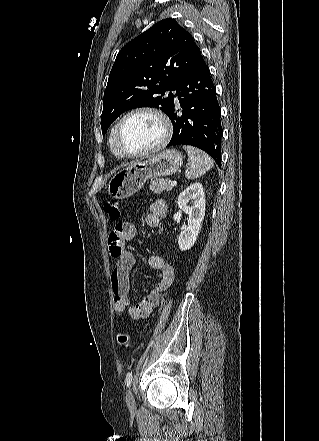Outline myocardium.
Listing matches in <instances>:
<instances>
[{"label": "myocardium", "mask_w": 319, "mask_h": 441, "mask_svg": "<svg viewBox=\"0 0 319 441\" xmlns=\"http://www.w3.org/2000/svg\"><path fill=\"white\" fill-rule=\"evenodd\" d=\"M137 114H149L151 116H153L154 118H156L162 128V136L160 138V140L152 147L145 149L143 151L140 152H135V153H131L126 151L120 143V130L122 128V125L124 124V122L130 118L133 115H137ZM172 135V124L170 119L167 117V115L161 111L158 108L155 107H151V106H141V107H136L133 108L131 110H129L128 112H126L120 119L119 121L116 123L115 125V129H114V143H115V147L118 150V152L123 156V157H127V158H142V157H146L149 155H152L154 153H157L158 151H160L161 149H163L166 144L168 143V141L170 140Z\"/></svg>", "instance_id": "obj_1"}]
</instances>
